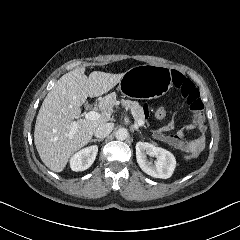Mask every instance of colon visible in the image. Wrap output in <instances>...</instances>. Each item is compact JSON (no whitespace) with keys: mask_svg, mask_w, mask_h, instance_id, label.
<instances>
[{"mask_svg":"<svg viewBox=\"0 0 240 240\" xmlns=\"http://www.w3.org/2000/svg\"><path fill=\"white\" fill-rule=\"evenodd\" d=\"M173 78L176 82V87L178 89H182L181 91L185 99L188 101V107L192 111V119L195 123V126L197 128H202L201 130H204V117L202 112L203 102L200 99L199 91L195 85L189 81V78L187 76H182L181 73L176 72L174 73ZM165 113L166 112L163 110V108L159 107L158 110L155 111V116L161 119L165 116ZM198 153H202L201 142H198L197 145H194L190 148V156H198Z\"/></svg>","mask_w":240,"mask_h":240,"instance_id":"1","label":"colon"}]
</instances>
